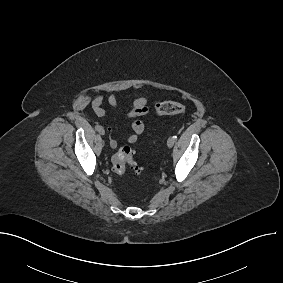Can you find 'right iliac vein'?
Masks as SVG:
<instances>
[{"instance_id": "1", "label": "right iliac vein", "mask_w": 283, "mask_h": 283, "mask_svg": "<svg viewBox=\"0 0 283 283\" xmlns=\"http://www.w3.org/2000/svg\"><path fill=\"white\" fill-rule=\"evenodd\" d=\"M99 134H100V135H104V134H105V130H104V128H102V127L100 128V130H99Z\"/></svg>"}]
</instances>
